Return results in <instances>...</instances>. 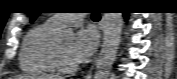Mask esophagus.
<instances>
[{
    "mask_svg": "<svg viewBox=\"0 0 177 79\" xmlns=\"http://www.w3.org/2000/svg\"><path fill=\"white\" fill-rule=\"evenodd\" d=\"M99 29L101 31H103L104 29V23H103V18L101 19L100 23H99ZM96 62V59L94 60V64ZM94 64L91 66L89 72L87 73V75L85 76V79H91L92 78V73H93V70H94Z\"/></svg>",
    "mask_w": 177,
    "mask_h": 79,
    "instance_id": "obj_1",
    "label": "esophagus"
}]
</instances>
